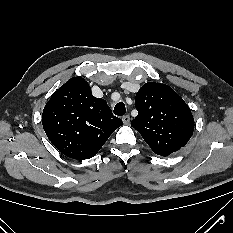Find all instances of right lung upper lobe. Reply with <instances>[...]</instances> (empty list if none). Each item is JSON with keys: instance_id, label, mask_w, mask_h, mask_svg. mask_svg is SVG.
<instances>
[{"instance_id": "cb5924a9", "label": "right lung upper lobe", "mask_w": 233, "mask_h": 233, "mask_svg": "<svg viewBox=\"0 0 233 233\" xmlns=\"http://www.w3.org/2000/svg\"><path fill=\"white\" fill-rule=\"evenodd\" d=\"M123 124L82 77L62 85L45 105L42 125L52 144L73 159L92 158Z\"/></svg>"}]
</instances>
